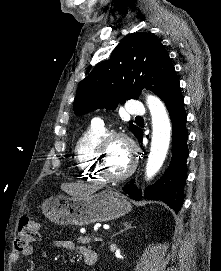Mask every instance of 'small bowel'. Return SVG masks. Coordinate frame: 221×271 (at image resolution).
<instances>
[{"mask_svg":"<svg viewBox=\"0 0 221 271\" xmlns=\"http://www.w3.org/2000/svg\"><path fill=\"white\" fill-rule=\"evenodd\" d=\"M53 246L56 249H63V250L71 251V252H76V253L82 255L84 258L87 256H96L97 257V254L95 251L91 250L90 248H88L85 245L78 244V243L74 242L73 240L58 238L53 241ZM32 252H33L32 246H28L22 250L15 249L11 254V259L13 262H16L19 260V258L22 255L28 256V255H31Z\"/></svg>","mask_w":221,"mask_h":271,"instance_id":"small-bowel-1","label":"small bowel"}]
</instances>
